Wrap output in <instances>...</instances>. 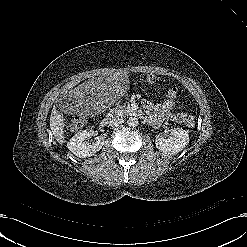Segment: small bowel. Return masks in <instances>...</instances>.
I'll return each mask as SVG.
<instances>
[{"mask_svg": "<svg viewBox=\"0 0 247 247\" xmlns=\"http://www.w3.org/2000/svg\"><path fill=\"white\" fill-rule=\"evenodd\" d=\"M148 81L153 83L155 81V76L149 75ZM143 104L147 111L146 121L152 126H160L163 120H170L175 123L185 122L186 113L176 112L175 104L172 99H167L159 104L144 101Z\"/></svg>", "mask_w": 247, "mask_h": 247, "instance_id": "small-bowel-1", "label": "small bowel"}]
</instances>
